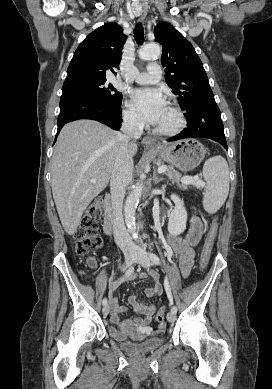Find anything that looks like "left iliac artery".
I'll return each instance as SVG.
<instances>
[{
	"mask_svg": "<svg viewBox=\"0 0 272 389\" xmlns=\"http://www.w3.org/2000/svg\"><path fill=\"white\" fill-rule=\"evenodd\" d=\"M149 257H150L151 261H152L154 264H156V265L160 264V259H159V257H158L156 254L150 252V253H149ZM165 290H166V292H167L168 299H169V301L171 302V301L173 300V297H172V293H171V289H170L169 282H168L167 280H165ZM171 312H173V313L176 314V312H177V307H176V306H173L172 309H171Z\"/></svg>",
	"mask_w": 272,
	"mask_h": 389,
	"instance_id": "44dca946",
	"label": "left iliac artery"
}]
</instances>
